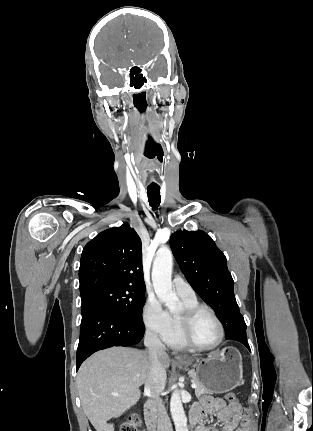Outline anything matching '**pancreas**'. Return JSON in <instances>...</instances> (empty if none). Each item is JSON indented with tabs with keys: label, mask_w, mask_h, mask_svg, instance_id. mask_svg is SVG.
<instances>
[{
	"label": "pancreas",
	"mask_w": 313,
	"mask_h": 431,
	"mask_svg": "<svg viewBox=\"0 0 313 431\" xmlns=\"http://www.w3.org/2000/svg\"><path fill=\"white\" fill-rule=\"evenodd\" d=\"M190 375L192 377V381L196 383L197 387L195 388V394L197 397H200L203 394L210 393L202 384H200L198 378L196 377L194 372H190Z\"/></svg>",
	"instance_id": "1"
}]
</instances>
